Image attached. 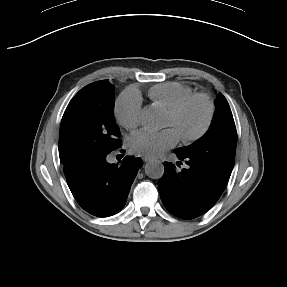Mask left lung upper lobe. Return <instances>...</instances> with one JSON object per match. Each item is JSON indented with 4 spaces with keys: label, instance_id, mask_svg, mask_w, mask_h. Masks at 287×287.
Segmentation results:
<instances>
[{
    "label": "left lung upper lobe",
    "instance_id": "obj_1",
    "mask_svg": "<svg viewBox=\"0 0 287 287\" xmlns=\"http://www.w3.org/2000/svg\"><path fill=\"white\" fill-rule=\"evenodd\" d=\"M215 104L216 111L207 133L192 145L175 150L194 156L227 182L234 166L237 132L229 104L221 93Z\"/></svg>",
    "mask_w": 287,
    "mask_h": 287
}]
</instances>
